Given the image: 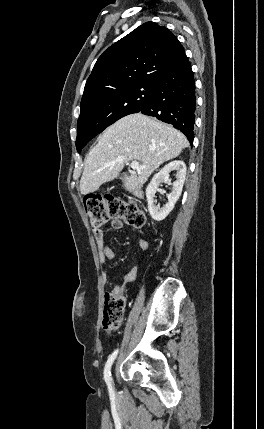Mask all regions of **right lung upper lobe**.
Here are the masks:
<instances>
[{
	"label": "right lung upper lobe",
	"mask_w": 264,
	"mask_h": 429,
	"mask_svg": "<svg viewBox=\"0 0 264 429\" xmlns=\"http://www.w3.org/2000/svg\"><path fill=\"white\" fill-rule=\"evenodd\" d=\"M184 54L169 29L146 22L99 57L86 82L81 105L132 85L155 84Z\"/></svg>",
	"instance_id": "right-lung-upper-lobe-1"
}]
</instances>
